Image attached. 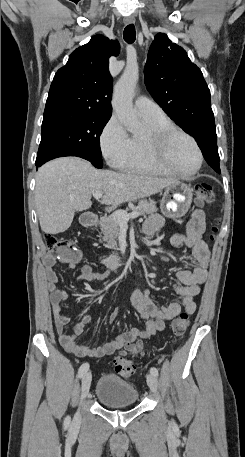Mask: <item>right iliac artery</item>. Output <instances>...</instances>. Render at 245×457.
Returning a JSON list of instances; mask_svg holds the SVG:
<instances>
[{"label": "right iliac artery", "mask_w": 245, "mask_h": 457, "mask_svg": "<svg viewBox=\"0 0 245 457\" xmlns=\"http://www.w3.org/2000/svg\"><path fill=\"white\" fill-rule=\"evenodd\" d=\"M89 369V364L88 363H83L80 368H79V371H78V376L79 377H82L84 375V373H86ZM67 424L70 423V420L66 421Z\"/></svg>", "instance_id": "1"}]
</instances>
